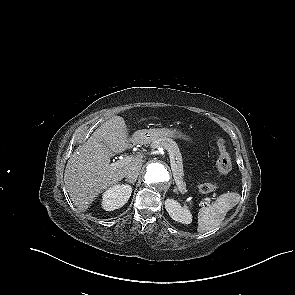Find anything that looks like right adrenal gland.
<instances>
[{
    "label": "right adrenal gland",
    "instance_id": "obj_1",
    "mask_svg": "<svg viewBox=\"0 0 295 295\" xmlns=\"http://www.w3.org/2000/svg\"><path fill=\"white\" fill-rule=\"evenodd\" d=\"M125 181L132 184V185H134L135 182H136V179H134V180L126 179Z\"/></svg>",
    "mask_w": 295,
    "mask_h": 295
}]
</instances>
